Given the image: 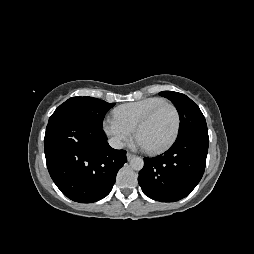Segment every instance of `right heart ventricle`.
Segmentation results:
<instances>
[{"instance_id": "obj_1", "label": "right heart ventricle", "mask_w": 254, "mask_h": 254, "mask_svg": "<svg viewBox=\"0 0 254 254\" xmlns=\"http://www.w3.org/2000/svg\"><path fill=\"white\" fill-rule=\"evenodd\" d=\"M165 102L163 98L149 97L122 104L114 109V116L135 129L138 122L153 108Z\"/></svg>"}]
</instances>
